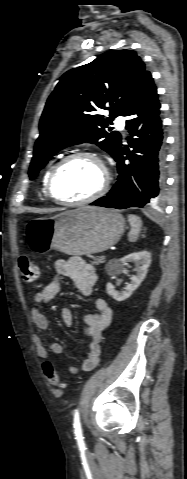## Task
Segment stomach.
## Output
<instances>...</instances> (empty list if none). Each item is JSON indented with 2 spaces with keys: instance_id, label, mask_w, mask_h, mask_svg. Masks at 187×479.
I'll return each mask as SVG.
<instances>
[{
  "instance_id": "stomach-1",
  "label": "stomach",
  "mask_w": 187,
  "mask_h": 479,
  "mask_svg": "<svg viewBox=\"0 0 187 479\" xmlns=\"http://www.w3.org/2000/svg\"><path fill=\"white\" fill-rule=\"evenodd\" d=\"M125 220L113 209L83 206L53 217L31 219L26 237L32 251L51 249L69 255L100 253L115 245L124 233Z\"/></svg>"
}]
</instances>
